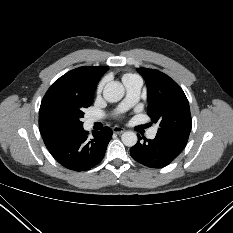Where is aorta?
Returning <instances> with one entry per match:
<instances>
[{"instance_id":"aorta-1","label":"aorta","mask_w":233,"mask_h":233,"mask_svg":"<svg viewBox=\"0 0 233 233\" xmlns=\"http://www.w3.org/2000/svg\"><path fill=\"white\" fill-rule=\"evenodd\" d=\"M125 90L120 82L112 81L105 85L103 97L108 102H118L124 96ZM121 140L125 146L132 147L137 143V135L132 131H126L122 134Z\"/></svg>"}]
</instances>
